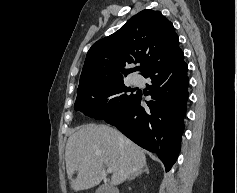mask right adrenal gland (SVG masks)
<instances>
[{"instance_id": "obj_1", "label": "right adrenal gland", "mask_w": 237, "mask_h": 193, "mask_svg": "<svg viewBox=\"0 0 237 193\" xmlns=\"http://www.w3.org/2000/svg\"><path fill=\"white\" fill-rule=\"evenodd\" d=\"M143 172L146 173V174H148V173H149L148 168L145 167L144 170H140V171H138V172H135L132 176L129 177L128 180L130 181V180H132V179H135L136 177H138L139 175H141Z\"/></svg>"}]
</instances>
